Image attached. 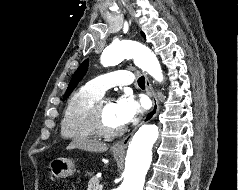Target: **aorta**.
<instances>
[{
    "instance_id": "aorta-1",
    "label": "aorta",
    "mask_w": 238,
    "mask_h": 190,
    "mask_svg": "<svg viewBox=\"0 0 238 190\" xmlns=\"http://www.w3.org/2000/svg\"><path fill=\"white\" fill-rule=\"evenodd\" d=\"M124 59L135 64L157 81L163 80L160 63L155 54L143 44L132 40H115L102 53L101 64L114 66ZM159 137L154 124L143 125L133 136L127 151L124 180L118 190H143L145 176L152 161V148Z\"/></svg>"
}]
</instances>
